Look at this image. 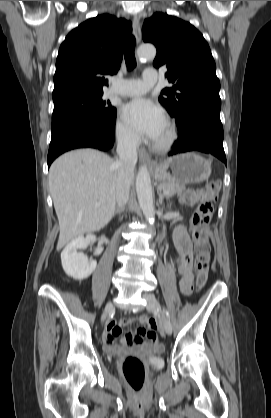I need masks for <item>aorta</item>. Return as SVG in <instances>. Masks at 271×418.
Masks as SVG:
<instances>
[{
  "mask_svg": "<svg viewBox=\"0 0 271 418\" xmlns=\"http://www.w3.org/2000/svg\"><path fill=\"white\" fill-rule=\"evenodd\" d=\"M137 54L139 58L153 59L156 56V48L153 45H142L139 47ZM137 198L145 218L154 223L155 208L153 204L151 179L146 166L139 168L136 177Z\"/></svg>",
  "mask_w": 271,
  "mask_h": 418,
  "instance_id": "762f6f07",
  "label": "aorta"
}]
</instances>
